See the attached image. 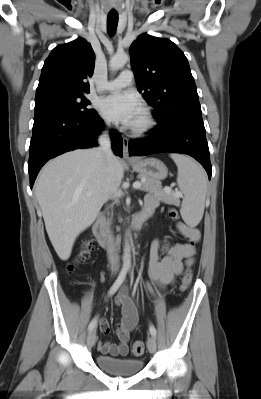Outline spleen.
Listing matches in <instances>:
<instances>
[{
	"mask_svg": "<svg viewBox=\"0 0 261 399\" xmlns=\"http://www.w3.org/2000/svg\"><path fill=\"white\" fill-rule=\"evenodd\" d=\"M170 157L177 165V183L184 195L181 216L187 225L197 226L204 214L206 174L202 167L188 156L171 154Z\"/></svg>",
	"mask_w": 261,
	"mask_h": 399,
	"instance_id": "obj_1",
	"label": "spleen"
}]
</instances>
